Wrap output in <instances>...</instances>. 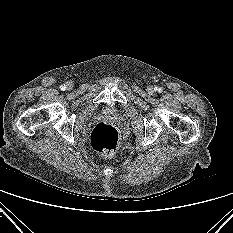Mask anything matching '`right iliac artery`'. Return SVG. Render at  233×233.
Here are the masks:
<instances>
[{"instance_id":"1","label":"right iliac artery","mask_w":233,"mask_h":233,"mask_svg":"<svg viewBox=\"0 0 233 233\" xmlns=\"http://www.w3.org/2000/svg\"><path fill=\"white\" fill-rule=\"evenodd\" d=\"M60 89H61L62 91H64V90L66 89V85H65V84L61 85V86H60Z\"/></svg>"}]
</instances>
